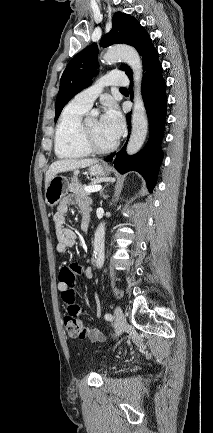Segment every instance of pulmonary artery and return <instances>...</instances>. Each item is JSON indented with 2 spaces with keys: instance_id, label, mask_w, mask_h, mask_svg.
Returning a JSON list of instances; mask_svg holds the SVG:
<instances>
[{
  "instance_id": "obj_1",
  "label": "pulmonary artery",
  "mask_w": 213,
  "mask_h": 433,
  "mask_svg": "<svg viewBox=\"0 0 213 433\" xmlns=\"http://www.w3.org/2000/svg\"><path fill=\"white\" fill-rule=\"evenodd\" d=\"M129 84L127 76L121 71H112L99 79L94 85L79 92L72 102L84 109H89L105 86L125 87Z\"/></svg>"
}]
</instances>
